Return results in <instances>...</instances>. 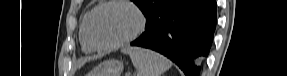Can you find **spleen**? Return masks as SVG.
<instances>
[{
	"label": "spleen",
	"instance_id": "1",
	"mask_svg": "<svg viewBox=\"0 0 287 76\" xmlns=\"http://www.w3.org/2000/svg\"><path fill=\"white\" fill-rule=\"evenodd\" d=\"M122 52L129 55L137 69V76H161L171 67L168 59L148 49L125 47Z\"/></svg>",
	"mask_w": 287,
	"mask_h": 76
}]
</instances>
